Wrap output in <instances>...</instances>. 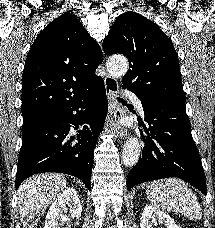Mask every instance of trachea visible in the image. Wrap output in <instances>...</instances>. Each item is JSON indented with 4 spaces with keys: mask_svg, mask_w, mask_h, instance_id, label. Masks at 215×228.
I'll return each instance as SVG.
<instances>
[{
    "mask_svg": "<svg viewBox=\"0 0 215 228\" xmlns=\"http://www.w3.org/2000/svg\"><path fill=\"white\" fill-rule=\"evenodd\" d=\"M120 100V102H122V103H126L124 100H122V99H119Z\"/></svg>",
    "mask_w": 215,
    "mask_h": 228,
    "instance_id": "1",
    "label": "trachea"
}]
</instances>
